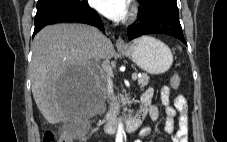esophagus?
Here are the masks:
<instances>
[{"instance_id": "1", "label": "esophagus", "mask_w": 227, "mask_h": 142, "mask_svg": "<svg viewBox=\"0 0 227 142\" xmlns=\"http://www.w3.org/2000/svg\"><path fill=\"white\" fill-rule=\"evenodd\" d=\"M116 47L118 49H123V48H126L127 47V43L122 39V38H118L116 40Z\"/></svg>"}]
</instances>
